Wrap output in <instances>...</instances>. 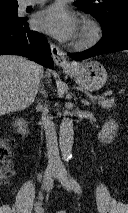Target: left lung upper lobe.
Segmentation results:
<instances>
[{"label":"left lung upper lobe","mask_w":128,"mask_h":213,"mask_svg":"<svg viewBox=\"0 0 128 213\" xmlns=\"http://www.w3.org/2000/svg\"><path fill=\"white\" fill-rule=\"evenodd\" d=\"M74 5L92 14L102 29L128 18V0H78Z\"/></svg>","instance_id":"obj_1"}]
</instances>
